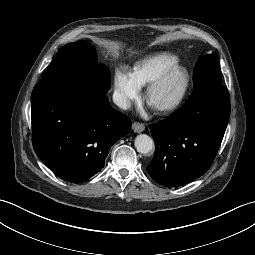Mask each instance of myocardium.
<instances>
[{
	"label": "myocardium",
	"instance_id": "f54148a6",
	"mask_svg": "<svg viewBox=\"0 0 255 255\" xmlns=\"http://www.w3.org/2000/svg\"><path fill=\"white\" fill-rule=\"evenodd\" d=\"M177 72L181 73L184 77L182 87L178 94L168 102L155 107L151 106L153 110L158 113H167L173 111L183 103L191 84V77L188 70L179 63L170 66L148 85L144 93V101L149 104V97L152 95V93L156 91L172 74Z\"/></svg>",
	"mask_w": 255,
	"mask_h": 255
}]
</instances>
